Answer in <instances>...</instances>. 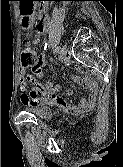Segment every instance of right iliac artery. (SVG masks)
Instances as JSON below:
<instances>
[{"label": "right iliac artery", "mask_w": 123, "mask_h": 167, "mask_svg": "<svg viewBox=\"0 0 123 167\" xmlns=\"http://www.w3.org/2000/svg\"><path fill=\"white\" fill-rule=\"evenodd\" d=\"M60 50H61L60 47H56V48H55V52H56V53H60Z\"/></svg>", "instance_id": "obj_1"}]
</instances>
